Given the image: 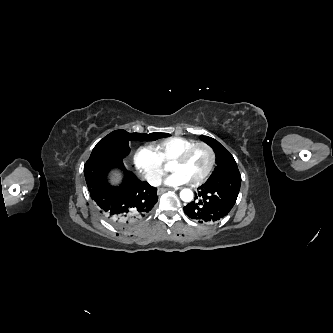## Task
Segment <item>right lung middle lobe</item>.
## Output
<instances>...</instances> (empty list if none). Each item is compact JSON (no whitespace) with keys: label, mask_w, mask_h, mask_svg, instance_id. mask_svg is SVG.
<instances>
[{"label":"right lung middle lobe","mask_w":333,"mask_h":333,"mask_svg":"<svg viewBox=\"0 0 333 333\" xmlns=\"http://www.w3.org/2000/svg\"><path fill=\"white\" fill-rule=\"evenodd\" d=\"M170 136L169 134H140V133H128L124 130H116L108 134L94 147L90 158L94 157H113L123 160L129 152L128 145L129 140L141 139V140H157L161 137Z\"/></svg>","instance_id":"obj_1"}]
</instances>
